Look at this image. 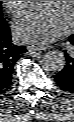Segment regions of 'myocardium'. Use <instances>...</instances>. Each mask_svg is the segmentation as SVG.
<instances>
[{"label":"myocardium","instance_id":"myocardium-1","mask_svg":"<svg viewBox=\"0 0 74 122\" xmlns=\"http://www.w3.org/2000/svg\"><path fill=\"white\" fill-rule=\"evenodd\" d=\"M72 4V17H71V23H74V1H71Z\"/></svg>","mask_w":74,"mask_h":122}]
</instances>
